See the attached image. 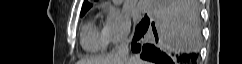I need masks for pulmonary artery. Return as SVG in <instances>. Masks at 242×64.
Masks as SVG:
<instances>
[{
  "mask_svg": "<svg viewBox=\"0 0 242 64\" xmlns=\"http://www.w3.org/2000/svg\"><path fill=\"white\" fill-rule=\"evenodd\" d=\"M138 6L144 12L149 11L150 9L149 4L146 1H140Z\"/></svg>",
  "mask_w": 242,
  "mask_h": 64,
  "instance_id": "obj_1",
  "label": "pulmonary artery"
}]
</instances>
